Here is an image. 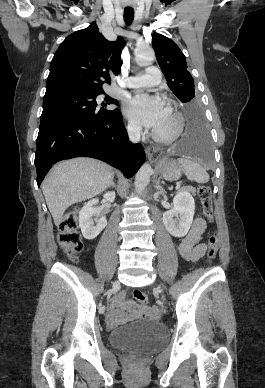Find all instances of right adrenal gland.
Listing matches in <instances>:
<instances>
[{
    "instance_id": "right-adrenal-gland-1",
    "label": "right adrenal gland",
    "mask_w": 265,
    "mask_h": 388,
    "mask_svg": "<svg viewBox=\"0 0 265 388\" xmlns=\"http://www.w3.org/2000/svg\"><path fill=\"white\" fill-rule=\"evenodd\" d=\"M109 188H116L115 182H113V180H112V184H111V186H109Z\"/></svg>"
}]
</instances>
